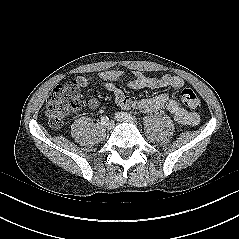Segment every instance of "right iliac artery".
I'll list each match as a JSON object with an SVG mask.
<instances>
[{
    "instance_id": "right-iliac-artery-1",
    "label": "right iliac artery",
    "mask_w": 239,
    "mask_h": 239,
    "mask_svg": "<svg viewBox=\"0 0 239 239\" xmlns=\"http://www.w3.org/2000/svg\"><path fill=\"white\" fill-rule=\"evenodd\" d=\"M107 121H108V123H109V118H108L107 116L101 117V123H102V124H105ZM111 124H113V123H111Z\"/></svg>"
}]
</instances>
